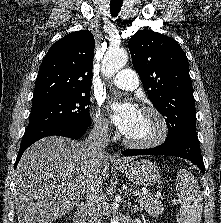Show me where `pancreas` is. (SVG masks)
I'll list each match as a JSON object with an SVG mask.
<instances>
[{"label":"pancreas","mask_w":221,"mask_h":223,"mask_svg":"<svg viewBox=\"0 0 221 223\" xmlns=\"http://www.w3.org/2000/svg\"><path fill=\"white\" fill-rule=\"evenodd\" d=\"M129 192L137 193L136 196L139 197L138 201L141 209H144L150 216L157 217L163 213L164 209L160 198H154L151 195H145L133 189H130Z\"/></svg>","instance_id":"obj_1"}]
</instances>
